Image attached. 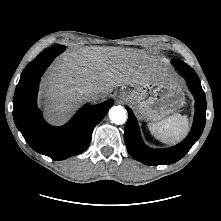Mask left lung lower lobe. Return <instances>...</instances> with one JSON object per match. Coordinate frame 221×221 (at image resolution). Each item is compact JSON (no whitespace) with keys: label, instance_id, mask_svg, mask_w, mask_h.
Masks as SVG:
<instances>
[{"label":"left lung lower lobe","instance_id":"left-lung-lower-lobe-1","mask_svg":"<svg viewBox=\"0 0 221 221\" xmlns=\"http://www.w3.org/2000/svg\"><path fill=\"white\" fill-rule=\"evenodd\" d=\"M193 94L195 103L194 122L188 136L178 145L166 149L148 148L142 141L137 120L129 107L128 121L124 129V139L128 153L136 160L151 166L172 164L185 156L201 136L206 123V98L199 77L195 71L182 61H172Z\"/></svg>","mask_w":221,"mask_h":221}]
</instances>
